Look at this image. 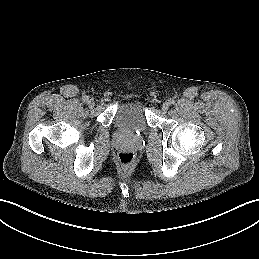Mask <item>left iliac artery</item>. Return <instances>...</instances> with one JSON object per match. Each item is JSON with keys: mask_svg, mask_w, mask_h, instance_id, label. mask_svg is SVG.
Returning a JSON list of instances; mask_svg holds the SVG:
<instances>
[{"mask_svg": "<svg viewBox=\"0 0 259 259\" xmlns=\"http://www.w3.org/2000/svg\"><path fill=\"white\" fill-rule=\"evenodd\" d=\"M174 103H175V100H174V99H170V100H169V104L172 105V104H174Z\"/></svg>", "mask_w": 259, "mask_h": 259, "instance_id": "1", "label": "left iliac artery"}]
</instances>
